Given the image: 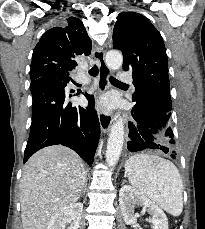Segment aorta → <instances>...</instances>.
Here are the masks:
<instances>
[{
	"instance_id": "1",
	"label": "aorta",
	"mask_w": 205,
	"mask_h": 229,
	"mask_svg": "<svg viewBox=\"0 0 205 229\" xmlns=\"http://www.w3.org/2000/svg\"><path fill=\"white\" fill-rule=\"evenodd\" d=\"M105 61L108 68L112 71L119 69L123 64V56L117 50H110L106 53ZM124 143V122L123 119L116 115L110 129L107 141L106 163L109 167H114L121 155Z\"/></svg>"
}]
</instances>
